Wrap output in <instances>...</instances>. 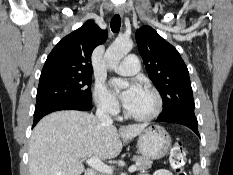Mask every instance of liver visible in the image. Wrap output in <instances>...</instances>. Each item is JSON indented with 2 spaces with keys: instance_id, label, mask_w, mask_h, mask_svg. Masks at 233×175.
<instances>
[{
  "instance_id": "liver-1",
  "label": "liver",
  "mask_w": 233,
  "mask_h": 175,
  "mask_svg": "<svg viewBox=\"0 0 233 175\" xmlns=\"http://www.w3.org/2000/svg\"><path fill=\"white\" fill-rule=\"evenodd\" d=\"M146 124L119 129L104 124L93 114L76 110L57 111L45 116L33 129L29 147L30 175H81V159L92 155L101 160L117 157ZM122 140H121V139Z\"/></svg>"
}]
</instances>
